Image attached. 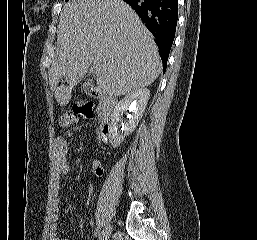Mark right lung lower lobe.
Wrapping results in <instances>:
<instances>
[{"label":"right lung lower lobe","instance_id":"1","mask_svg":"<svg viewBox=\"0 0 257 240\" xmlns=\"http://www.w3.org/2000/svg\"><path fill=\"white\" fill-rule=\"evenodd\" d=\"M139 15L154 35L160 50L163 70L175 37L178 20V0H124Z\"/></svg>","mask_w":257,"mask_h":240}]
</instances>
